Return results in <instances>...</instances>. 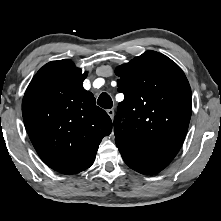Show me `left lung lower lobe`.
<instances>
[{
    "label": "left lung lower lobe",
    "mask_w": 221,
    "mask_h": 221,
    "mask_svg": "<svg viewBox=\"0 0 221 221\" xmlns=\"http://www.w3.org/2000/svg\"><path fill=\"white\" fill-rule=\"evenodd\" d=\"M116 145L125 163L130 168L141 174H156L163 170L170 163L166 161H159L144 157L132 148L125 145L124 143H116Z\"/></svg>",
    "instance_id": "1"
}]
</instances>
